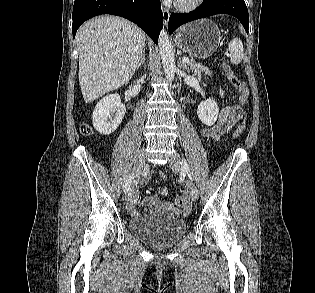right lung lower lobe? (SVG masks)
<instances>
[{
    "label": "right lung lower lobe",
    "mask_w": 315,
    "mask_h": 293,
    "mask_svg": "<svg viewBox=\"0 0 315 293\" xmlns=\"http://www.w3.org/2000/svg\"><path fill=\"white\" fill-rule=\"evenodd\" d=\"M112 14L137 24L157 44L163 26L159 0H75L72 32L75 37L80 25L97 15Z\"/></svg>",
    "instance_id": "98d812e1"
}]
</instances>
